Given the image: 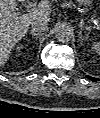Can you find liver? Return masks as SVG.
Listing matches in <instances>:
<instances>
[{
	"label": "liver",
	"instance_id": "liver-1",
	"mask_svg": "<svg viewBox=\"0 0 100 118\" xmlns=\"http://www.w3.org/2000/svg\"><path fill=\"white\" fill-rule=\"evenodd\" d=\"M25 1V0H17ZM16 0H0V64L9 59L13 47L25 36L35 19L50 20L51 5L41 1L38 10L26 14L16 12Z\"/></svg>",
	"mask_w": 100,
	"mask_h": 118
}]
</instances>
